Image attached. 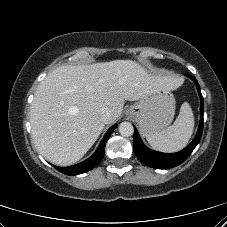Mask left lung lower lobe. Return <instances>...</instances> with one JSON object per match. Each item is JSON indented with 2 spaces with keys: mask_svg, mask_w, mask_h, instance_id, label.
<instances>
[{
  "mask_svg": "<svg viewBox=\"0 0 227 227\" xmlns=\"http://www.w3.org/2000/svg\"><path fill=\"white\" fill-rule=\"evenodd\" d=\"M187 76L195 82L200 97V124L197 134L193 141L183 150L177 153H161L147 148L143 144L137 129L134 127V152L138 159L148 167L155 169H167L180 165L189 157L201 139L203 132L204 100L197 80L190 75Z\"/></svg>",
  "mask_w": 227,
  "mask_h": 227,
  "instance_id": "left-lung-lower-lobe-1",
  "label": "left lung lower lobe"
}]
</instances>
